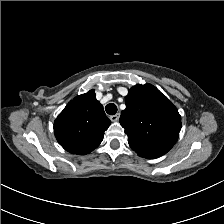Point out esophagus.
Segmentation results:
<instances>
[{"instance_id": "34e87169", "label": "esophagus", "mask_w": 224, "mask_h": 224, "mask_svg": "<svg viewBox=\"0 0 224 224\" xmlns=\"http://www.w3.org/2000/svg\"><path fill=\"white\" fill-rule=\"evenodd\" d=\"M119 118H120V114L119 113H116V114L110 116V120L112 122H117L119 120Z\"/></svg>"}]
</instances>
